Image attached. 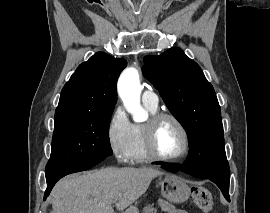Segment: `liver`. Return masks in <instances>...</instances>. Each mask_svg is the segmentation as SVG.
I'll return each mask as SVG.
<instances>
[{"label":"liver","instance_id":"liver-1","mask_svg":"<svg viewBox=\"0 0 270 213\" xmlns=\"http://www.w3.org/2000/svg\"><path fill=\"white\" fill-rule=\"evenodd\" d=\"M163 173L153 167H108L60 180L51 192L50 213H115L131 206Z\"/></svg>","mask_w":270,"mask_h":213}]
</instances>
